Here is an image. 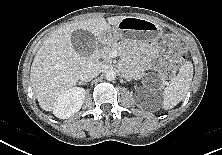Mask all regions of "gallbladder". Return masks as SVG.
I'll return each instance as SVG.
<instances>
[{"instance_id":"obj_1","label":"gallbladder","mask_w":222,"mask_h":155,"mask_svg":"<svg viewBox=\"0 0 222 155\" xmlns=\"http://www.w3.org/2000/svg\"><path fill=\"white\" fill-rule=\"evenodd\" d=\"M74 49L82 56H89L95 49V37L86 30H76L71 34Z\"/></svg>"}]
</instances>
